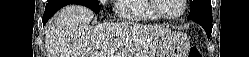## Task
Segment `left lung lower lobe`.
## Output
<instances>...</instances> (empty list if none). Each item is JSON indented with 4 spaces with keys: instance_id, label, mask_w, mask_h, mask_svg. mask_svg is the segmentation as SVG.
<instances>
[{
    "instance_id": "1",
    "label": "left lung lower lobe",
    "mask_w": 249,
    "mask_h": 57,
    "mask_svg": "<svg viewBox=\"0 0 249 57\" xmlns=\"http://www.w3.org/2000/svg\"><path fill=\"white\" fill-rule=\"evenodd\" d=\"M193 21L200 24L204 30L206 31L207 37L209 38L211 36L212 32V20L208 19H193Z\"/></svg>"
}]
</instances>
